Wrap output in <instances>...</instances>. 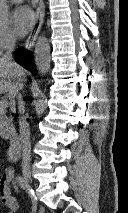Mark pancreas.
Returning a JSON list of instances; mask_svg holds the SVG:
<instances>
[{"instance_id": "cf45deb5", "label": "pancreas", "mask_w": 128, "mask_h": 213, "mask_svg": "<svg viewBox=\"0 0 128 213\" xmlns=\"http://www.w3.org/2000/svg\"><path fill=\"white\" fill-rule=\"evenodd\" d=\"M13 118L7 116L6 109H0V136L7 139L11 132L14 131Z\"/></svg>"}]
</instances>
